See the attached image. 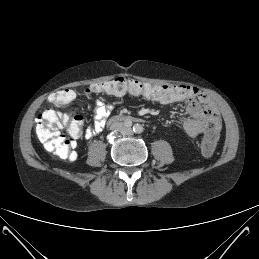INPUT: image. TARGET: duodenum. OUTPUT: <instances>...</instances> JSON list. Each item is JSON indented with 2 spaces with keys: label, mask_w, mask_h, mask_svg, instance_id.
<instances>
[{
  "label": "duodenum",
  "mask_w": 259,
  "mask_h": 259,
  "mask_svg": "<svg viewBox=\"0 0 259 259\" xmlns=\"http://www.w3.org/2000/svg\"><path fill=\"white\" fill-rule=\"evenodd\" d=\"M134 121H140V119L127 114H119L111 117L109 119V124L126 123V122H134Z\"/></svg>",
  "instance_id": "obj_1"
}]
</instances>
